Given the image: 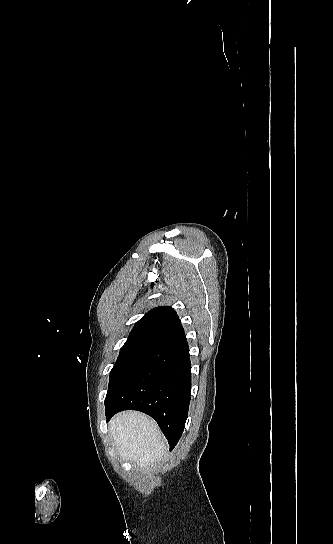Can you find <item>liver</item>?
Here are the masks:
<instances>
[{"label":"liver","mask_w":333,"mask_h":544,"mask_svg":"<svg viewBox=\"0 0 333 544\" xmlns=\"http://www.w3.org/2000/svg\"><path fill=\"white\" fill-rule=\"evenodd\" d=\"M110 431L120 457L138 466L159 461L166 452L165 439L157 424L136 411L117 414Z\"/></svg>","instance_id":"1"}]
</instances>
